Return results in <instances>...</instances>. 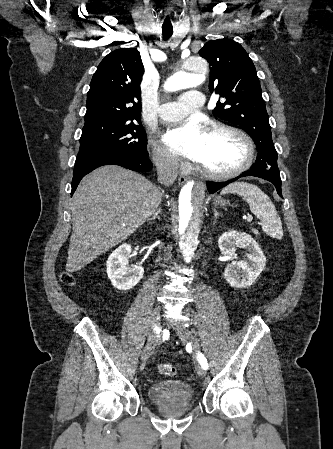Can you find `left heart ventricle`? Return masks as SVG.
Segmentation results:
<instances>
[{
	"label": "left heart ventricle",
	"instance_id": "1",
	"mask_svg": "<svg viewBox=\"0 0 333 449\" xmlns=\"http://www.w3.org/2000/svg\"><path fill=\"white\" fill-rule=\"evenodd\" d=\"M244 146L236 137L206 132L198 163L212 171H227L244 159Z\"/></svg>",
	"mask_w": 333,
	"mask_h": 449
}]
</instances>
